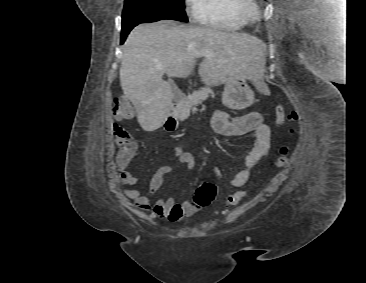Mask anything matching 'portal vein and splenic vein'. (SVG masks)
Returning <instances> with one entry per match:
<instances>
[{
	"instance_id": "1",
	"label": "portal vein and splenic vein",
	"mask_w": 366,
	"mask_h": 283,
	"mask_svg": "<svg viewBox=\"0 0 366 283\" xmlns=\"http://www.w3.org/2000/svg\"><path fill=\"white\" fill-rule=\"evenodd\" d=\"M198 56H208L209 52L208 51H200L196 53ZM157 68L159 69H164L165 66L164 65H157Z\"/></svg>"
}]
</instances>
